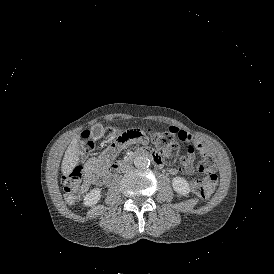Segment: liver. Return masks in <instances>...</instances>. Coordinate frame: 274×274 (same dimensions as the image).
<instances>
[{
    "instance_id": "obj_1",
    "label": "liver",
    "mask_w": 274,
    "mask_h": 274,
    "mask_svg": "<svg viewBox=\"0 0 274 274\" xmlns=\"http://www.w3.org/2000/svg\"><path fill=\"white\" fill-rule=\"evenodd\" d=\"M77 137L73 138L71 144L67 148L62 162V173L68 175L74 168L77 161L76 154Z\"/></svg>"
}]
</instances>
